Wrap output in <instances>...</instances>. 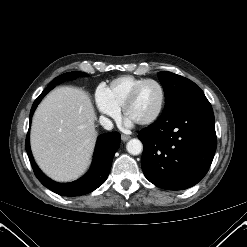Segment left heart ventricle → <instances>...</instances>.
I'll list each match as a JSON object with an SVG mask.
<instances>
[{
    "label": "left heart ventricle",
    "instance_id": "obj_1",
    "mask_svg": "<svg viewBox=\"0 0 247 247\" xmlns=\"http://www.w3.org/2000/svg\"><path fill=\"white\" fill-rule=\"evenodd\" d=\"M160 100L161 92L158 86L153 83L146 84L129 107L127 117L136 123L150 118L157 111Z\"/></svg>",
    "mask_w": 247,
    "mask_h": 247
}]
</instances>
